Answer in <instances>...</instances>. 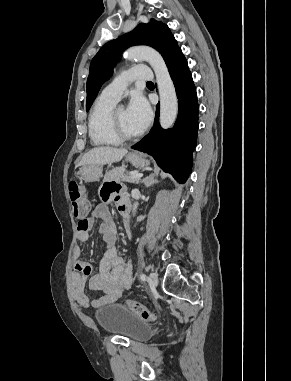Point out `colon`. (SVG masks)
Masks as SVG:
<instances>
[{"instance_id": "1", "label": "colon", "mask_w": 291, "mask_h": 381, "mask_svg": "<svg viewBox=\"0 0 291 381\" xmlns=\"http://www.w3.org/2000/svg\"><path fill=\"white\" fill-rule=\"evenodd\" d=\"M69 195L74 216L82 221L80 228L86 229L87 224L85 221L88 219V214L90 212V203L83 194L80 185L75 180H72L69 183ZM126 306L133 314L145 321H154L156 319L155 313L139 302L130 300L126 302Z\"/></svg>"}]
</instances>
